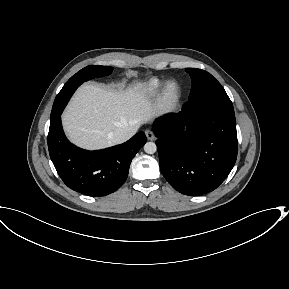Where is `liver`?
I'll list each match as a JSON object with an SVG mask.
<instances>
[{"label": "liver", "mask_w": 289, "mask_h": 289, "mask_svg": "<svg viewBox=\"0 0 289 289\" xmlns=\"http://www.w3.org/2000/svg\"><path fill=\"white\" fill-rule=\"evenodd\" d=\"M169 110L165 106L155 108L141 83L125 92L84 84L68 104L62 121L73 143L92 150L114 145L108 135L116 129L127 130L131 137L142 124Z\"/></svg>", "instance_id": "obj_1"}]
</instances>
